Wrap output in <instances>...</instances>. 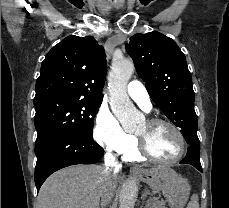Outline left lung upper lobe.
<instances>
[{"label":"left lung upper lobe","mask_w":229,"mask_h":208,"mask_svg":"<svg viewBox=\"0 0 229 208\" xmlns=\"http://www.w3.org/2000/svg\"><path fill=\"white\" fill-rule=\"evenodd\" d=\"M126 50L160 110L181 128V133L196 131L192 78L178 45L171 38L153 31L132 36Z\"/></svg>","instance_id":"left-lung-upper-lobe-1"}]
</instances>
